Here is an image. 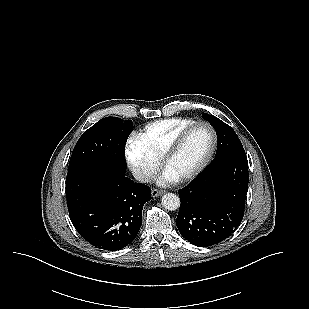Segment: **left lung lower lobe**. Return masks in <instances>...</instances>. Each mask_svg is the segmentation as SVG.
<instances>
[{
  "label": "left lung lower lobe",
  "mask_w": 309,
  "mask_h": 309,
  "mask_svg": "<svg viewBox=\"0 0 309 309\" xmlns=\"http://www.w3.org/2000/svg\"><path fill=\"white\" fill-rule=\"evenodd\" d=\"M248 180L245 151L213 160L178 190L181 205L176 224L181 235L199 247L228 238L243 219Z\"/></svg>",
  "instance_id": "0a47b994"
}]
</instances>
